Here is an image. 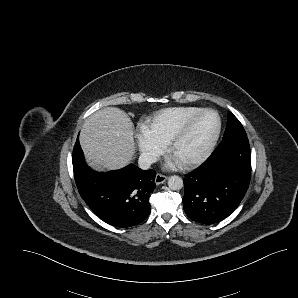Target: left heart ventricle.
Listing matches in <instances>:
<instances>
[{
  "instance_id": "left-heart-ventricle-1",
  "label": "left heart ventricle",
  "mask_w": 298,
  "mask_h": 298,
  "mask_svg": "<svg viewBox=\"0 0 298 298\" xmlns=\"http://www.w3.org/2000/svg\"><path fill=\"white\" fill-rule=\"evenodd\" d=\"M215 129L216 121L213 115L199 117L178 140L170 157L182 163L195 157L213 136Z\"/></svg>"
}]
</instances>
